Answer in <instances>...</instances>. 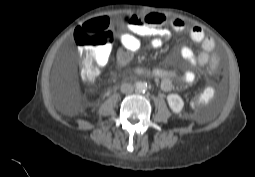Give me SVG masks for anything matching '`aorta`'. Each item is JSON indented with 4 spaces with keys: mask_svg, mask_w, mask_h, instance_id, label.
<instances>
[{
    "mask_svg": "<svg viewBox=\"0 0 255 177\" xmlns=\"http://www.w3.org/2000/svg\"><path fill=\"white\" fill-rule=\"evenodd\" d=\"M138 88H139V90H141V91H145V90L147 89V85L144 84V83H142V84H140V85L138 86Z\"/></svg>",
    "mask_w": 255,
    "mask_h": 177,
    "instance_id": "1",
    "label": "aorta"
}]
</instances>
